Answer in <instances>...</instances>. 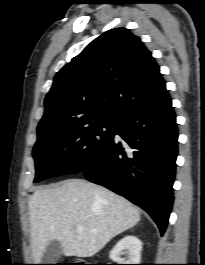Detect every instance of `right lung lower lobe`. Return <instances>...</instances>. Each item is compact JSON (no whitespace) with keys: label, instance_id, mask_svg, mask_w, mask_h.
<instances>
[{"label":"right lung lower lobe","instance_id":"obj_1","mask_svg":"<svg viewBox=\"0 0 205 265\" xmlns=\"http://www.w3.org/2000/svg\"><path fill=\"white\" fill-rule=\"evenodd\" d=\"M177 139L165 89L151 104L117 120L113 138L82 172L147 211L163 235L173 203Z\"/></svg>","mask_w":205,"mask_h":265}]
</instances>
